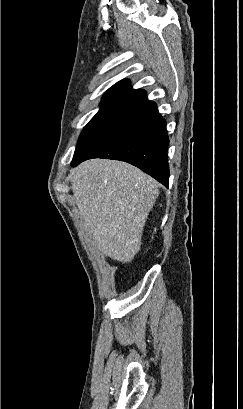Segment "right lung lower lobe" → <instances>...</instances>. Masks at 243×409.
<instances>
[{
  "instance_id": "1",
  "label": "right lung lower lobe",
  "mask_w": 243,
  "mask_h": 409,
  "mask_svg": "<svg viewBox=\"0 0 243 409\" xmlns=\"http://www.w3.org/2000/svg\"><path fill=\"white\" fill-rule=\"evenodd\" d=\"M169 139L166 121L144 90L123 101L118 109L80 145L72 166L91 158L128 162L168 187Z\"/></svg>"
}]
</instances>
